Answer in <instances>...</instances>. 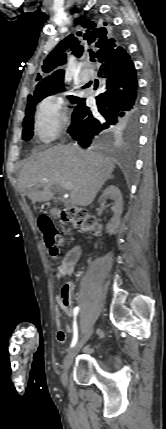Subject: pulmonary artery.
Listing matches in <instances>:
<instances>
[{
  "instance_id": "pulmonary-artery-1",
  "label": "pulmonary artery",
  "mask_w": 166,
  "mask_h": 429,
  "mask_svg": "<svg viewBox=\"0 0 166 429\" xmlns=\"http://www.w3.org/2000/svg\"><path fill=\"white\" fill-rule=\"evenodd\" d=\"M90 65H91L90 61H87L84 69V73H83L82 82H87L94 77V72L92 69H90Z\"/></svg>"
}]
</instances>
